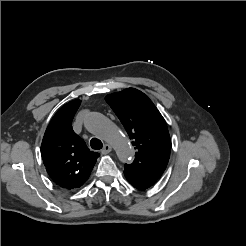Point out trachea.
Wrapping results in <instances>:
<instances>
[{
	"instance_id": "3493384b",
	"label": "trachea",
	"mask_w": 246,
	"mask_h": 246,
	"mask_svg": "<svg viewBox=\"0 0 246 246\" xmlns=\"http://www.w3.org/2000/svg\"><path fill=\"white\" fill-rule=\"evenodd\" d=\"M90 146L92 149L99 150L103 147V144L99 139L92 138L90 141Z\"/></svg>"
}]
</instances>
